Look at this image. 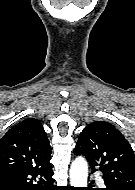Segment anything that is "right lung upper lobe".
Wrapping results in <instances>:
<instances>
[{"label": "right lung upper lobe", "instance_id": "obj_1", "mask_svg": "<svg viewBox=\"0 0 135 190\" xmlns=\"http://www.w3.org/2000/svg\"><path fill=\"white\" fill-rule=\"evenodd\" d=\"M51 147L41 123L26 119L11 128L0 140V171L14 168H45L50 164Z\"/></svg>", "mask_w": 135, "mask_h": 190}]
</instances>
